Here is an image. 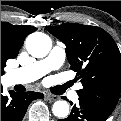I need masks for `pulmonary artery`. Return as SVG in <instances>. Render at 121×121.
Returning a JSON list of instances; mask_svg holds the SVG:
<instances>
[{
  "label": "pulmonary artery",
  "instance_id": "e3ab8cb5",
  "mask_svg": "<svg viewBox=\"0 0 121 121\" xmlns=\"http://www.w3.org/2000/svg\"><path fill=\"white\" fill-rule=\"evenodd\" d=\"M65 58L66 54L63 46H54L46 58L10 71L7 75L8 83L10 85H15L34 82L49 72L61 68ZM81 87L82 85L80 83L76 86L77 89H80ZM70 97L72 100H75L77 98L76 92L73 91Z\"/></svg>",
  "mask_w": 121,
  "mask_h": 121
}]
</instances>
